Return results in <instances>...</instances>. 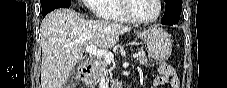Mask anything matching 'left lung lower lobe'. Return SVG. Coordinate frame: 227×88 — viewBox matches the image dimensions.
<instances>
[{
	"label": "left lung lower lobe",
	"instance_id": "left-lung-lower-lobe-1",
	"mask_svg": "<svg viewBox=\"0 0 227 88\" xmlns=\"http://www.w3.org/2000/svg\"><path fill=\"white\" fill-rule=\"evenodd\" d=\"M181 1L168 2L166 4L165 14L161 19V23L164 25H174L179 21L181 14Z\"/></svg>",
	"mask_w": 227,
	"mask_h": 88
}]
</instances>
